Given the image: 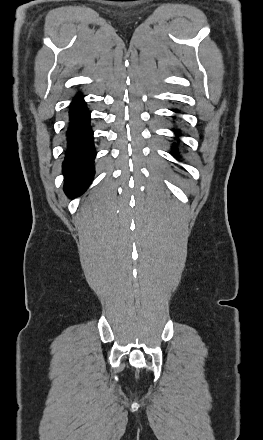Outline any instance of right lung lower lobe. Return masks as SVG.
I'll use <instances>...</instances> for the list:
<instances>
[{
	"label": "right lung lower lobe",
	"mask_w": 263,
	"mask_h": 440,
	"mask_svg": "<svg viewBox=\"0 0 263 440\" xmlns=\"http://www.w3.org/2000/svg\"><path fill=\"white\" fill-rule=\"evenodd\" d=\"M69 118L68 149L63 162L64 190L70 198H74L87 189L94 175L93 132L90 128V112L82 95L74 98Z\"/></svg>",
	"instance_id": "right-lung-lower-lobe-1"
}]
</instances>
